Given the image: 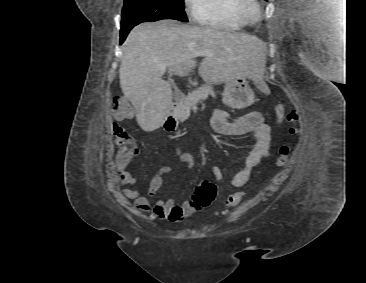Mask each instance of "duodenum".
I'll use <instances>...</instances> for the list:
<instances>
[{
    "label": "duodenum",
    "instance_id": "410a0bca",
    "mask_svg": "<svg viewBox=\"0 0 366 283\" xmlns=\"http://www.w3.org/2000/svg\"><path fill=\"white\" fill-rule=\"evenodd\" d=\"M164 127L167 131H174L177 128V119L172 113H170L164 123Z\"/></svg>",
    "mask_w": 366,
    "mask_h": 283
}]
</instances>
